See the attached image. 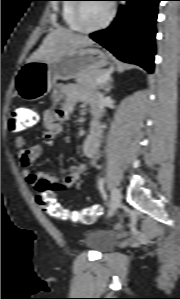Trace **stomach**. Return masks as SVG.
Returning a JSON list of instances; mask_svg holds the SVG:
<instances>
[{
    "label": "stomach",
    "instance_id": "obj_1",
    "mask_svg": "<svg viewBox=\"0 0 180 299\" xmlns=\"http://www.w3.org/2000/svg\"><path fill=\"white\" fill-rule=\"evenodd\" d=\"M109 64V56L97 48H81L65 52L50 61L26 62L15 79L16 92L24 100L45 97L57 80L78 78Z\"/></svg>",
    "mask_w": 180,
    "mask_h": 299
}]
</instances>
